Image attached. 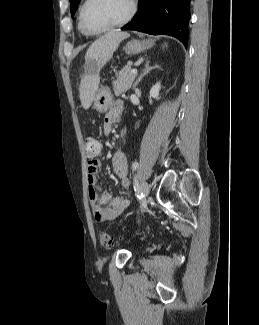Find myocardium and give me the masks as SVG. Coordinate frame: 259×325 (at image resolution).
<instances>
[{"mask_svg":"<svg viewBox=\"0 0 259 325\" xmlns=\"http://www.w3.org/2000/svg\"><path fill=\"white\" fill-rule=\"evenodd\" d=\"M92 1L93 0H85V2L83 3V5L80 9V13H79V21H80L81 27L89 35L101 34V33H104V32H107V31H110V30H113L115 28L125 25L134 17L136 10H137L136 0H130L129 12L122 20H120L110 26L101 28V29H91L86 23L85 13H86L88 6L92 3Z\"/></svg>","mask_w":259,"mask_h":325,"instance_id":"1","label":"myocardium"}]
</instances>
